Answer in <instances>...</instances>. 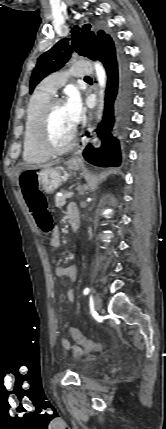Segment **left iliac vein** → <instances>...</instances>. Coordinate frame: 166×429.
<instances>
[{
  "label": "left iliac vein",
  "mask_w": 166,
  "mask_h": 429,
  "mask_svg": "<svg viewBox=\"0 0 166 429\" xmlns=\"http://www.w3.org/2000/svg\"><path fill=\"white\" fill-rule=\"evenodd\" d=\"M95 309L99 312L102 308V299L99 295H96L94 298Z\"/></svg>",
  "instance_id": "1"
}]
</instances>
